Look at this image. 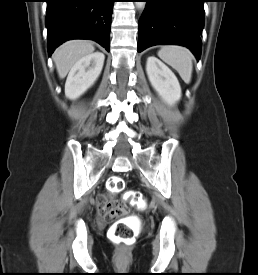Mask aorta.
Masks as SVG:
<instances>
[{"instance_id":"762f6f07","label":"aorta","mask_w":258,"mask_h":275,"mask_svg":"<svg viewBox=\"0 0 258 275\" xmlns=\"http://www.w3.org/2000/svg\"><path fill=\"white\" fill-rule=\"evenodd\" d=\"M135 4L136 7L140 10L145 8V2H136Z\"/></svg>"}]
</instances>
